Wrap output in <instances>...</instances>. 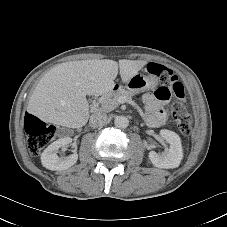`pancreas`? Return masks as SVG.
Returning a JSON list of instances; mask_svg holds the SVG:
<instances>
[{"label":"pancreas","mask_w":227,"mask_h":227,"mask_svg":"<svg viewBox=\"0 0 227 227\" xmlns=\"http://www.w3.org/2000/svg\"><path fill=\"white\" fill-rule=\"evenodd\" d=\"M134 94L126 89H119L117 91H112L100 99V108L102 112H110L118 107L120 104L119 99L125 97L127 99L131 98Z\"/></svg>","instance_id":"obj_1"}]
</instances>
